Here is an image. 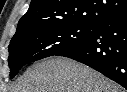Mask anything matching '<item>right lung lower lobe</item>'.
<instances>
[{"mask_svg": "<svg viewBox=\"0 0 127 92\" xmlns=\"http://www.w3.org/2000/svg\"><path fill=\"white\" fill-rule=\"evenodd\" d=\"M56 56L82 62L127 89V12L95 25L88 39Z\"/></svg>", "mask_w": 127, "mask_h": 92, "instance_id": "obj_1", "label": "right lung lower lobe"}]
</instances>
